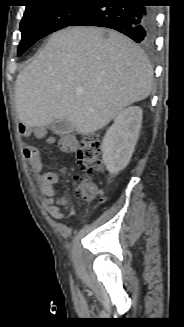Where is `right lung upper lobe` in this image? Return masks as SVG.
<instances>
[{
    "instance_id": "obj_1",
    "label": "right lung upper lobe",
    "mask_w": 184,
    "mask_h": 327,
    "mask_svg": "<svg viewBox=\"0 0 184 327\" xmlns=\"http://www.w3.org/2000/svg\"><path fill=\"white\" fill-rule=\"evenodd\" d=\"M28 1H29L30 3L36 4V3L44 2V1H48V0H28ZM33 4H32V5H33ZM29 6H31V5L26 6V8L29 7Z\"/></svg>"
}]
</instances>
